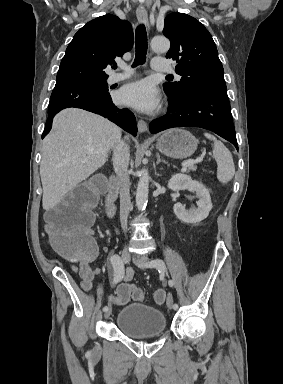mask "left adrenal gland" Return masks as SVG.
<instances>
[{
    "label": "left adrenal gland",
    "mask_w": 283,
    "mask_h": 384,
    "mask_svg": "<svg viewBox=\"0 0 283 384\" xmlns=\"http://www.w3.org/2000/svg\"><path fill=\"white\" fill-rule=\"evenodd\" d=\"M156 156H157L156 164H160V162H163V164H168V162H166V160H160V156H159L158 152H156Z\"/></svg>",
    "instance_id": "1"
}]
</instances>
